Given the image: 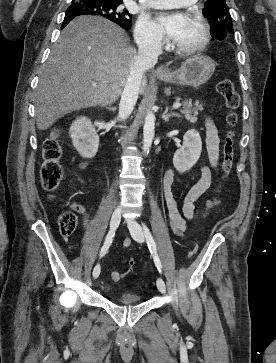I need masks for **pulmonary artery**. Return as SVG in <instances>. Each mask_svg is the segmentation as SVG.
Instances as JSON below:
<instances>
[{
	"label": "pulmonary artery",
	"mask_w": 276,
	"mask_h": 363,
	"mask_svg": "<svg viewBox=\"0 0 276 363\" xmlns=\"http://www.w3.org/2000/svg\"><path fill=\"white\" fill-rule=\"evenodd\" d=\"M196 0H151L150 6L156 8H178L194 3Z\"/></svg>",
	"instance_id": "pulmonary-artery-1"
}]
</instances>
